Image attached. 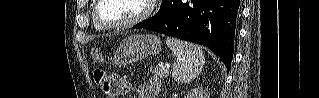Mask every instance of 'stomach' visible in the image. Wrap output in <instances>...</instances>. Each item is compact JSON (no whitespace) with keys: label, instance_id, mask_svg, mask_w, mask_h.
<instances>
[{"label":"stomach","instance_id":"0dacf381","mask_svg":"<svg viewBox=\"0 0 319 98\" xmlns=\"http://www.w3.org/2000/svg\"><path fill=\"white\" fill-rule=\"evenodd\" d=\"M161 51L160 39L151 34H135L125 38L115 53L114 63L121 67L140 61Z\"/></svg>","mask_w":319,"mask_h":98}]
</instances>
